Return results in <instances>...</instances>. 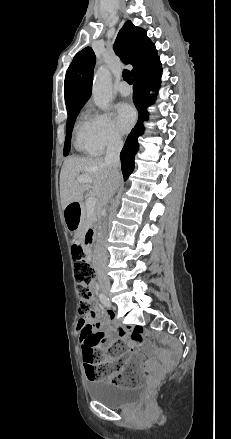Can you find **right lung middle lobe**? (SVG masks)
<instances>
[{
    "label": "right lung middle lobe",
    "instance_id": "1",
    "mask_svg": "<svg viewBox=\"0 0 231 439\" xmlns=\"http://www.w3.org/2000/svg\"><path fill=\"white\" fill-rule=\"evenodd\" d=\"M82 107L83 106H79V107L67 110V113H68L67 127H66L67 136H66V140H65V144H64V156H67L69 151H70V140H71L72 129H73L76 117H77V115Z\"/></svg>",
    "mask_w": 231,
    "mask_h": 439
}]
</instances>
